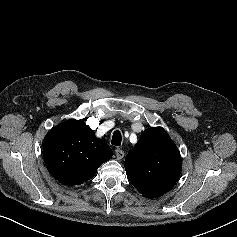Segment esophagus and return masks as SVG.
I'll use <instances>...</instances> for the list:
<instances>
[{
	"mask_svg": "<svg viewBox=\"0 0 237 237\" xmlns=\"http://www.w3.org/2000/svg\"><path fill=\"white\" fill-rule=\"evenodd\" d=\"M124 154H125L124 151L120 148H117L115 150V155L118 160L122 159L124 157Z\"/></svg>",
	"mask_w": 237,
	"mask_h": 237,
	"instance_id": "obj_1",
	"label": "esophagus"
}]
</instances>
